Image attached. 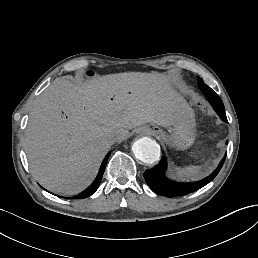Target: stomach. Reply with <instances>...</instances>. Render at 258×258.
<instances>
[{
    "label": "stomach",
    "mask_w": 258,
    "mask_h": 258,
    "mask_svg": "<svg viewBox=\"0 0 258 258\" xmlns=\"http://www.w3.org/2000/svg\"><path fill=\"white\" fill-rule=\"evenodd\" d=\"M195 127V111L181 94L176 104L171 126L161 128L151 123L138 128V131L156 136L170 149L186 151L195 144Z\"/></svg>",
    "instance_id": "stomach-1"
}]
</instances>
